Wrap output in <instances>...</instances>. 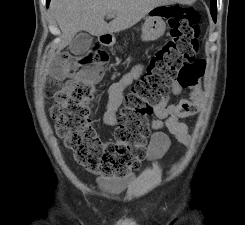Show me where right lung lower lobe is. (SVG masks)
Returning <instances> with one entry per match:
<instances>
[{
	"mask_svg": "<svg viewBox=\"0 0 245 225\" xmlns=\"http://www.w3.org/2000/svg\"><path fill=\"white\" fill-rule=\"evenodd\" d=\"M46 2H47V7H48L50 0H46Z\"/></svg>",
	"mask_w": 245,
	"mask_h": 225,
	"instance_id": "obj_1",
	"label": "right lung lower lobe"
}]
</instances>
